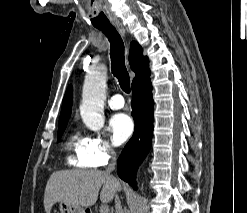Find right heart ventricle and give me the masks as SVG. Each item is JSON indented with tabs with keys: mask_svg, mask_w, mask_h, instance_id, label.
<instances>
[{
	"mask_svg": "<svg viewBox=\"0 0 247 213\" xmlns=\"http://www.w3.org/2000/svg\"><path fill=\"white\" fill-rule=\"evenodd\" d=\"M87 146V139L80 136L79 133H72L66 144L68 162L77 167H91L88 163L85 152Z\"/></svg>",
	"mask_w": 247,
	"mask_h": 213,
	"instance_id": "right-heart-ventricle-1",
	"label": "right heart ventricle"
}]
</instances>
